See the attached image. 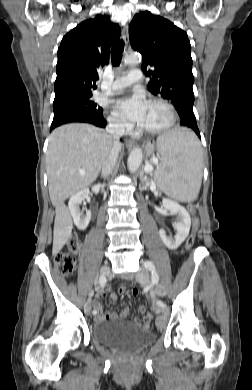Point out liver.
<instances>
[{
    "label": "liver",
    "mask_w": 252,
    "mask_h": 390,
    "mask_svg": "<svg viewBox=\"0 0 252 390\" xmlns=\"http://www.w3.org/2000/svg\"><path fill=\"white\" fill-rule=\"evenodd\" d=\"M113 143L109 134L90 124H67L51 133L46 171L49 196L56 209L53 255L60 252L73 229L72 217L64 201L96 180Z\"/></svg>",
    "instance_id": "1"
}]
</instances>
